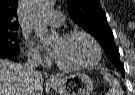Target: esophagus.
Segmentation results:
<instances>
[{"label":"esophagus","instance_id":"34e87169","mask_svg":"<svg viewBox=\"0 0 135 95\" xmlns=\"http://www.w3.org/2000/svg\"><path fill=\"white\" fill-rule=\"evenodd\" d=\"M48 81L54 82V81H56V78L54 76H50V77H48Z\"/></svg>","mask_w":135,"mask_h":95}]
</instances>
